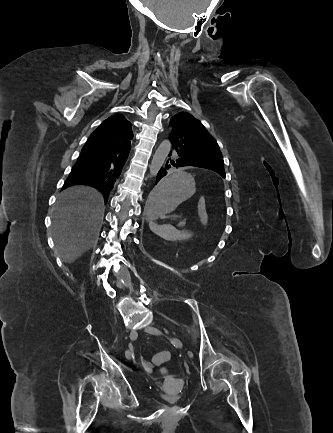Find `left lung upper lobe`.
Returning a JSON list of instances; mask_svg holds the SVG:
<instances>
[{
	"label": "left lung upper lobe",
	"mask_w": 333,
	"mask_h": 433,
	"mask_svg": "<svg viewBox=\"0 0 333 433\" xmlns=\"http://www.w3.org/2000/svg\"><path fill=\"white\" fill-rule=\"evenodd\" d=\"M170 141L176 157L192 167L206 168L225 178L224 161L217 142L191 114L179 112L170 120Z\"/></svg>",
	"instance_id": "left-lung-upper-lobe-1"
}]
</instances>
